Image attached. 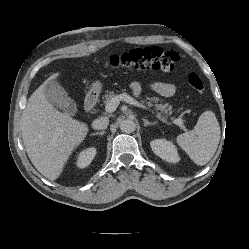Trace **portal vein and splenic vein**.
I'll return each mask as SVG.
<instances>
[{"label":"portal vein and splenic vein","instance_id":"portal-vein-and-splenic-vein-1","mask_svg":"<svg viewBox=\"0 0 249 249\" xmlns=\"http://www.w3.org/2000/svg\"><path fill=\"white\" fill-rule=\"evenodd\" d=\"M120 101H125L126 103H129L131 105H134L138 108H142V109H147V107L143 104H141L140 102L136 101L134 98H132L131 96L123 93V94H119L117 96H114L113 98H111L107 103H106V106H105V110L106 112L108 113H112L114 112ZM172 123L173 124H176V125H179L181 128H185V122L183 119L181 118H176V119H173L172 120Z\"/></svg>","mask_w":249,"mask_h":249}]
</instances>
